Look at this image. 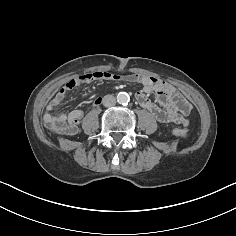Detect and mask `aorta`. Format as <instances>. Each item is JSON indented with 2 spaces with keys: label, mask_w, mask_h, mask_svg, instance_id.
<instances>
[{
  "label": "aorta",
  "mask_w": 236,
  "mask_h": 236,
  "mask_svg": "<svg viewBox=\"0 0 236 236\" xmlns=\"http://www.w3.org/2000/svg\"><path fill=\"white\" fill-rule=\"evenodd\" d=\"M117 101H118V103H120L122 105H126L130 101V97L126 92H120L117 95Z\"/></svg>",
  "instance_id": "obj_1"
}]
</instances>
